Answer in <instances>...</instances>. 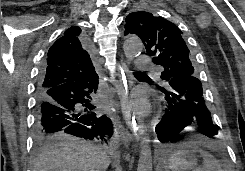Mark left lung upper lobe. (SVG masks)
Here are the masks:
<instances>
[{
	"instance_id": "5c2ea615",
	"label": "left lung upper lobe",
	"mask_w": 245,
	"mask_h": 171,
	"mask_svg": "<svg viewBox=\"0 0 245 171\" xmlns=\"http://www.w3.org/2000/svg\"><path fill=\"white\" fill-rule=\"evenodd\" d=\"M125 21L124 34L138 35L152 61L164 68V83L180 74L197 76L183 33L174 23L149 12H132Z\"/></svg>"
}]
</instances>
